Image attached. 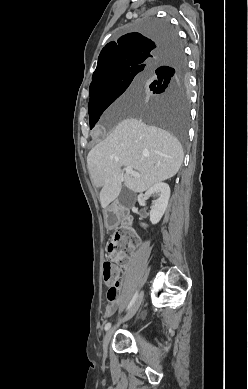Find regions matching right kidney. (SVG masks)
<instances>
[{"label": "right kidney", "instance_id": "1", "mask_svg": "<svg viewBox=\"0 0 248 389\" xmlns=\"http://www.w3.org/2000/svg\"><path fill=\"white\" fill-rule=\"evenodd\" d=\"M154 194H157L159 198L153 201L150 211V221L152 224H157L161 220L168 206L170 198L169 185L163 182L157 183L146 191L145 196L146 198H149ZM142 226L146 227L145 224H142Z\"/></svg>", "mask_w": 248, "mask_h": 389}]
</instances>
